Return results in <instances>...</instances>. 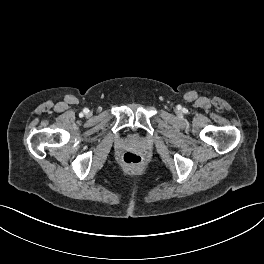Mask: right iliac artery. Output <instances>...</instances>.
I'll use <instances>...</instances> for the list:
<instances>
[{
	"label": "right iliac artery",
	"mask_w": 264,
	"mask_h": 264,
	"mask_svg": "<svg viewBox=\"0 0 264 264\" xmlns=\"http://www.w3.org/2000/svg\"><path fill=\"white\" fill-rule=\"evenodd\" d=\"M84 112L87 113L88 112V109H84Z\"/></svg>",
	"instance_id": "1"
}]
</instances>
